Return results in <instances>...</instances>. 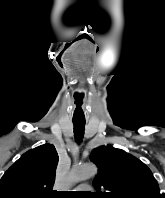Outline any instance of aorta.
<instances>
[{"label":"aorta","mask_w":165,"mask_h":198,"mask_svg":"<svg viewBox=\"0 0 165 198\" xmlns=\"http://www.w3.org/2000/svg\"><path fill=\"white\" fill-rule=\"evenodd\" d=\"M96 173L97 168L93 164H75L69 171L65 183L71 186L93 177Z\"/></svg>","instance_id":"762f6f07"}]
</instances>
